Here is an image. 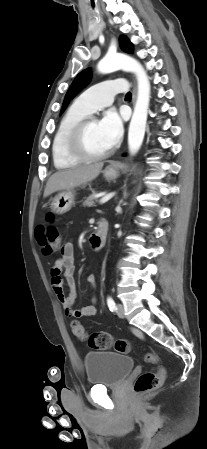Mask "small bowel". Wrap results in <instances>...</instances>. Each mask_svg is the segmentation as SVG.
Here are the masks:
<instances>
[{"label":"small bowel","instance_id":"obj_1","mask_svg":"<svg viewBox=\"0 0 207 449\" xmlns=\"http://www.w3.org/2000/svg\"><path fill=\"white\" fill-rule=\"evenodd\" d=\"M52 279L51 284L53 291L57 299L62 304L63 310L66 315L76 318L93 316L96 314V299L92 298V303L75 310L73 305L76 300V288H75V263H74V244L72 241L66 242L61 248L60 256L55 260L52 269ZM61 274L64 275L66 282L70 288L69 294H65L63 288V278ZM87 282L90 284L95 283L94 275L90 274L87 276Z\"/></svg>","mask_w":207,"mask_h":449}]
</instances>
